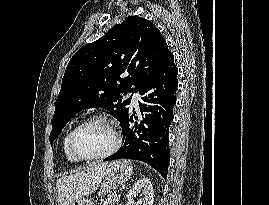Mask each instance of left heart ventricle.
Instances as JSON below:
<instances>
[{"instance_id":"b2bd125f","label":"left heart ventricle","mask_w":269,"mask_h":205,"mask_svg":"<svg viewBox=\"0 0 269 205\" xmlns=\"http://www.w3.org/2000/svg\"><path fill=\"white\" fill-rule=\"evenodd\" d=\"M113 144L112 134L106 124L93 122L82 127L74 139L76 152L85 157L107 151Z\"/></svg>"}]
</instances>
